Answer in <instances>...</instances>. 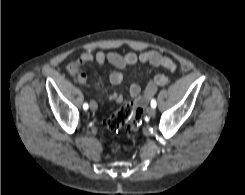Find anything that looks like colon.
<instances>
[{
	"instance_id": "obj_1",
	"label": "colon",
	"mask_w": 245,
	"mask_h": 195,
	"mask_svg": "<svg viewBox=\"0 0 245 195\" xmlns=\"http://www.w3.org/2000/svg\"><path fill=\"white\" fill-rule=\"evenodd\" d=\"M70 71L74 74H78L79 67L77 63L70 65ZM142 113V108L136 107L133 103H129L107 116L104 120V125L110 131L118 132V130L124 129L128 133H133L140 125ZM110 149L111 152L116 155L119 153L121 146L118 142L112 141Z\"/></svg>"
}]
</instances>
